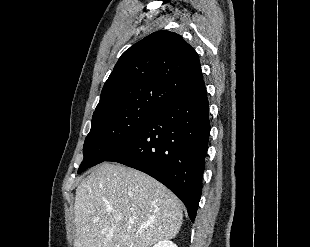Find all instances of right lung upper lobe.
I'll use <instances>...</instances> for the list:
<instances>
[{"instance_id":"1","label":"right lung upper lobe","mask_w":310,"mask_h":247,"mask_svg":"<svg viewBox=\"0 0 310 247\" xmlns=\"http://www.w3.org/2000/svg\"><path fill=\"white\" fill-rule=\"evenodd\" d=\"M203 86L196 51L180 35L157 31L121 55L93 117L133 107L161 109Z\"/></svg>"}]
</instances>
